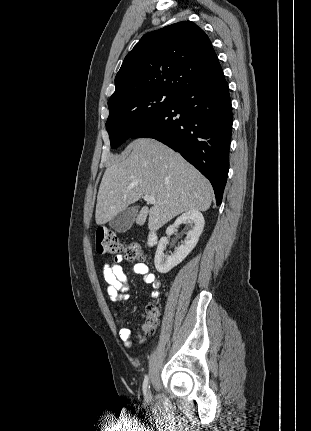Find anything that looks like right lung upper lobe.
<instances>
[{"label": "right lung upper lobe", "mask_w": 311, "mask_h": 431, "mask_svg": "<svg viewBox=\"0 0 311 431\" xmlns=\"http://www.w3.org/2000/svg\"><path fill=\"white\" fill-rule=\"evenodd\" d=\"M222 72L207 34L193 22L183 21L140 39L125 57L110 99L145 90L180 94Z\"/></svg>", "instance_id": "right-lung-upper-lobe-1"}]
</instances>
